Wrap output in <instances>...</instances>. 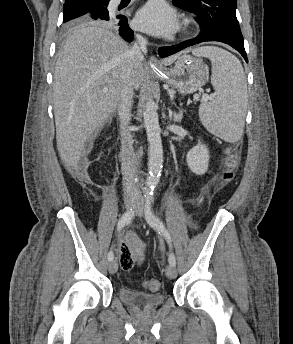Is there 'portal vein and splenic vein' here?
Returning <instances> with one entry per match:
<instances>
[{"instance_id": "18ae733b", "label": "portal vein and splenic vein", "mask_w": 293, "mask_h": 344, "mask_svg": "<svg viewBox=\"0 0 293 344\" xmlns=\"http://www.w3.org/2000/svg\"><path fill=\"white\" fill-rule=\"evenodd\" d=\"M103 91L106 93V92H107V89H104ZM194 98L197 99L198 96L195 95ZM208 99H210V97H209L208 94H204V95L202 96V100H203V101H206V100H208Z\"/></svg>"}]
</instances>
